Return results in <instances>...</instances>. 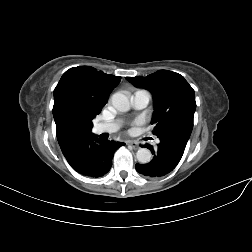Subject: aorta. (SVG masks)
<instances>
[{
    "mask_svg": "<svg viewBox=\"0 0 252 252\" xmlns=\"http://www.w3.org/2000/svg\"><path fill=\"white\" fill-rule=\"evenodd\" d=\"M112 106L120 112H127L130 110V102L126 95L117 92L111 96ZM136 158L141 164L149 163L152 159V154L147 148H140L136 153Z\"/></svg>",
    "mask_w": 252,
    "mask_h": 252,
    "instance_id": "1",
    "label": "aorta"
}]
</instances>
